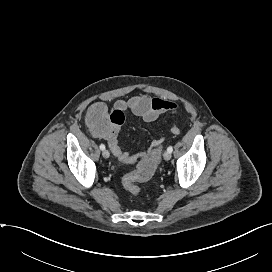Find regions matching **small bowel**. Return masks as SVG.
Segmentation results:
<instances>
[{"mask_svg":"<svg viewBox=\"0 0 272 272\" xmlns=\"http://www.w3.org/2000/svg\"><path fill=\"white\" fill-rule=\"evenodd\" d=\"M115 109L122 112L130 111L134 115L140 117L145 122H153L164 113L175 114L178 109V105L169 100L161 98H152L147 95L132 96L127 99H119L115 102ZM171 132L174 135L180 134V128L177 125H173ZM119 127H110L104 132L95 133V135L101 139H104L113 155L118 160L125 163H133L139 158L148 156L147 152H139L131 154L124 150L118 141ZM162 143L161 139L154 140L151 143L152 147H157Z\"/></svg>","mask_w":272,"mask_h":272,"instance_id":"small-bowel-1","label":"small bowel"}]
</instances>
